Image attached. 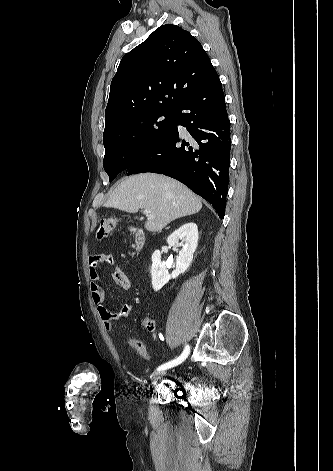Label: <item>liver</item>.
<instances>
[{
	"instance_id": "1",
	"label": "liver",
	"mask_w": 333,
	"mask_h": 471,
	"mask_svg": "<svg viewBox=\"0 0 333 471\" xmlns=\"http://www.w3.org/2000/svg\"><path fill=\"white\" fill-rule=\"evenodd\" d=\"M128 213L148 209L145 228L161 231L170 222L199 212L202 202L188 187L179 181L154 173H142L122 181L104 203Z\"/></svg>"
}]
</instances>
